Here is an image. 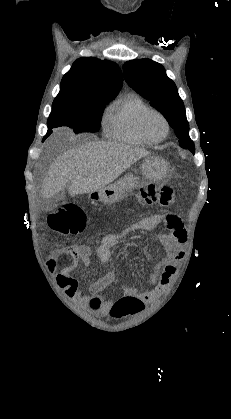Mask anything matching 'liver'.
<instances>
[{"mask_svg":"<svg viewBox=\"0 0 231 419\" xmlns=\"http://www.w3.org/2000/svg\"><path fill=\"white\" fill-rule=\"evenodd\" d=\"M150 153L116 142H90L59 156L50 166L42 185V197L51 198L67 184L71 196L96 192Z\"/></svg>","mask_w":231,"mask_h":419,"instance_id":"obj_1","label":"liver"}]
</instances>
